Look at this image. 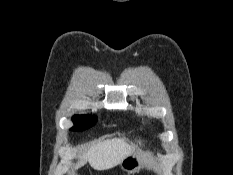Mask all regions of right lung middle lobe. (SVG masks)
I'll return each mask as SVG.
<instances>
[{"mask_svg": "<svg viewBox=\"0 0 233 175\" xmlns=\"http://www.w3.org/2000/svg\"><path fill=\"white\" fill-rule=\"evenodd\" d=\"M75 126L71 128L73 131H82L95 124L96 119L88 115H75L72 118Z\"/></svg>", "mask_w": 233, "mask_h": 175, "instance_id": "obj_1", "label": "right lung middle lobe"}]
</instances>
